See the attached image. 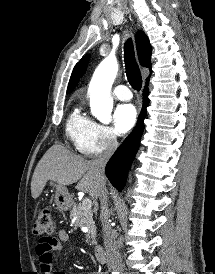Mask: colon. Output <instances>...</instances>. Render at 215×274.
Here are the masks:
<instances>
[{
  "label": "colon",
  "mask_w": 215,
  "mask_h": 274,
  "mask_svg": "<svg viewBox=\"0 0 215 274\" xmlns=\"http://www.w3.org/2000/svg\"><path fill=\"white\" fill-rule=\"evenodd\" d=\"M54 231V223L49 207L42 206L38 211L37 219L33 224V232L41 238H51Z\"/></svg>",
  "instance_id": "5ec220e1"
}]
</instances>
